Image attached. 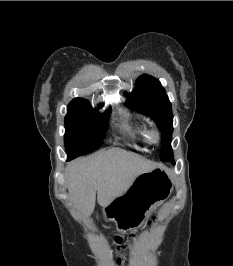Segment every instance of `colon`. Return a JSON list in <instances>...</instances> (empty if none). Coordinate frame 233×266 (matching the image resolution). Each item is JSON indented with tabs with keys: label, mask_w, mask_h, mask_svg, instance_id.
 <instances>
[{
	"label": "colon",
	"mask_w": 233,
	"mask_h": 266,
	"mask_svg": "<svg viewBox=\"0 0 233 266\" xmlns=\"http://www.w3.org/2000/svg\"><path fill=\"white\" fill-rule=\"evenodd\" d=\"M130 237H132V235H130ZM124 241V238L122 236H116L115 237V242L118 244V245H121Z\"/></svg>",
	"instance_id": "obj_1"
}]
</instances>
